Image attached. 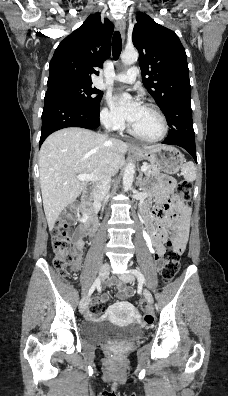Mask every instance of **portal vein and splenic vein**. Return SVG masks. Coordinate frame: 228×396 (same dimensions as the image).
Masks as SVG:
<instances>
[{
  "label": "portal vein and splenic vein",
  "mask_w": 228,
  "mask_h": 396,
  "mask_svg": "<svg viewBox=\"0 0 228 396\" xmlns=\"http://www.w3.org/2000/svg\"><path fill=\"white\" fill-rule=\"evenodd\" d=\"M147 170V166L146 165H143V166H141V171L142 172H145ZM77 179L78 180H80V181H97L98 180V178L95 176V175H93V174H79L78 176H77Z\"/></svg>",
  "instance_id": "portal-vein-and-splenic-vein-1"
}]
</instances>
